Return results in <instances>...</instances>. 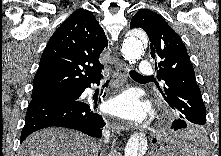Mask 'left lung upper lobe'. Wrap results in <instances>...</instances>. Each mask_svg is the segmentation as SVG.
<instances>
[{"label": "left lung upper lobe", "instance_id": "left-lung-upper-lobe-1", "mask_svg": "<svg viewBox=\"0 0 221 156\" xmlns=\"http://www.w3.org/2000/svg\"><path fill=\"white\" fill-rule=\"evenodd\" d=\"M130 27L147 32L151 56L160 60L156 63L157 77L164 83V91H160L177 117L187 123L204 125L205 105L186 47L178 34L159 14L146 9H140L133 16Z\"/></svg>", "mask_w": 221, "mask_h": 156}]
</instances>
